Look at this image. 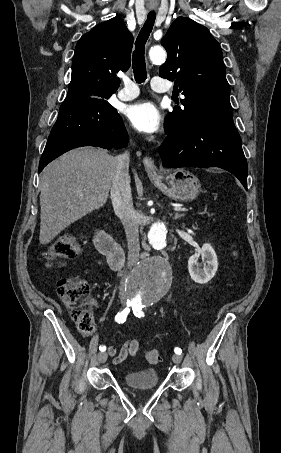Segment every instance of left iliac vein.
<instances>
[{
    "label": "left iliac vein",
    "instance_id": "1",
    "mask_svg": "<svg viewBox=\"0 0 281 453\" xmlns=\"http://www.w3.org/2000/svg\"><path fill=\"white\" fill-rule=\"evenodd\" d=\"M171 359H172L173 362H175V365H176V363H177V362H181V360H182L183 358H182L181 355L174 354V355L172 356Z\"/></svg>",
    "mask_w": 281,
    "mask_h": 453
}]
</instances>
